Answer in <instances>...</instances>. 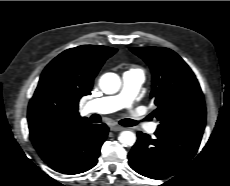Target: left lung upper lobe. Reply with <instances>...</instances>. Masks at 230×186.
Here are the masks:
<instances>
[{
    "label": "left lung upper lobe",
    "mask_w": 230,
    "mask_h": 186,
    "mask_svg": "<svg viewBox=\"0 0 230 186\" xmlns=\"http://www.w3.org/2000/svg\"><path fill=\"white\" fill-rule=\"evenodd\" d=\"M153 74L151 97L159 128L181 133L203 134L206 108L196 76L173 50L162 47L131 48Z\"/></svg>",
    "instance_id": "obj_1"
}]
</instances>
